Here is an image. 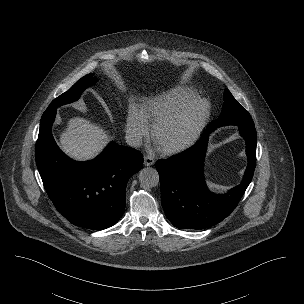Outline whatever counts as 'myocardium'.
Listing matches in <instances>:
<instances>
[{"instance_id":"obj_1","label":"myocardium","mask_w":304,"mask_h":304,"mask_svg":"<svg viewBox=\"0 0 304 304\" xmlns=\"http://www.w3.org/2000/svg\"><path fill=\"white\" fill-rule=\"evenodd\" d=\"M196 111L197 119L190 133L182 140L164 144L159 141L163 128L170 122L177 120L186 114ZM211 113L210 103L202 97L194 96L176 110L158 119L153 125V138L160 148L168 154L181 152L191 147L202 134Z\"/></svg>"}]
</instances>
